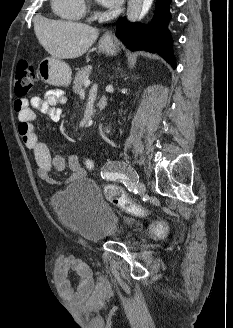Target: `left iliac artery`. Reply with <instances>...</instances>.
I'll return each instance as SVG.
<instances>
[{
    "label": "left iliac artery",
    "instance_id": "1",
    "mask_svg": "<svg viewBox=\"0 0 233 328\" xmlns=\"http://www.w3.org/2000/svg\"><path fill=\"white\" fill-rule=\"evenodd\" d=\"M102 177L105 178V179H107V180H116V179H119L129 189H133L134 188V186L130 183V181L127 178V176L125 174H123V173H119V172H104V174L102 175Z\"/></svg>",
    "mask_w": 233,
    "mask_h": 328
}]
</instances>
